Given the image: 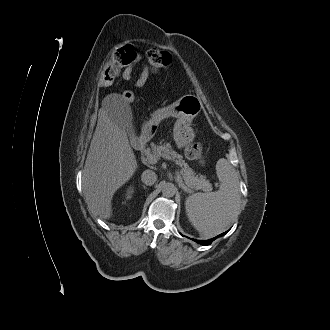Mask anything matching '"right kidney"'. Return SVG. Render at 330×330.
I'll use <instances>...</instances> for the list:
<instances>
[{
    "label": "right kidney",
    "mask_w": 330,
    "mask_h": 330,
    "mask_svg": "<svg viewBox=\"0 0 330 330\" xmlns=\"http://www.w3.org/2000/svg\"><path fill=\"white\" fill-rule=\"evenodd\" d=\"M133 192H134V189H133V187L130 186V187L127 189L126 199H131Z\"/></svg>",
    "instance_id": "right-kidney-1"
}]
</instances>
